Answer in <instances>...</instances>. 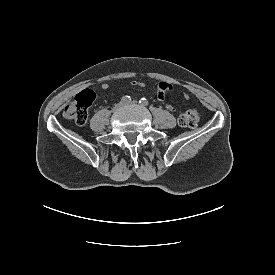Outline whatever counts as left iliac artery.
Here are the masks:
<instances>
[{
	"mask_svg": "<svg viewBox=\"0 0 275 275\" xmlns=\"http://www.w3.org/2000/svg\"><path fill=\"white\" fill-rule=\"evenodd\" d=\"M139 102H140V104H142V105H144V106H145V105H148V100L145 99V98H141Z\"/></svg>",
	"mask_w": 275,
	"mask_h": 275,
	"instance_id": "left-iliac-artery-1",
	"label": "left iliac artery"
}]
</instances>
